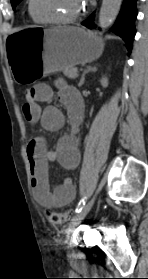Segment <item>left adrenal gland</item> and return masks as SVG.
I'll list each match as a JSON object with an SVG mask.
<instances>
[{"label": "left adrenal gland", "mask_w": 148, "mask_h": 279, "mask_svg": "<svg viewBox=\"0 0 148 279\" xmlns=\"http://www.w3.org/2000/svg\"><path fill=\"white\" fill-rule=\"evenodd\" d=\"M96 71H97V66H87V69L82 74V77H81V80H80L78 86L82 87V85L84 84L85 76H86L87 73H89V72H96Z\"/></svg>", "instance_id": "1"}]
</instances>
